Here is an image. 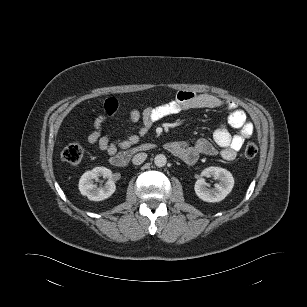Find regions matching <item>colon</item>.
Listing matches in <instances>:
<instances>
[{
    "label": "colon",
    "instance_id": "5ec220e1",
    "mask_svg": "<svg viewBox=\"0 0 307 307\" xmlns=\"http://www.w3.org/2000/svg\"><path fill=\"white\" fill-rule=\"evenodd\" d=\"M258 153V147L254 142H248L244 148V155L247 158H254ZM83 157V149L79 144L71 143L65 146L61 152L63 161L69 164H78Z\"/></svg>",
    "mask_w": 307,
    "mask_h": 307
}]
</instances>
